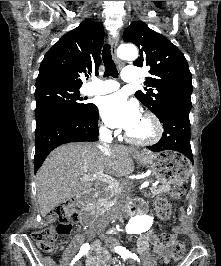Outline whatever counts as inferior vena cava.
<instances>
[{
    "instance_id": "inferior-vena-cava-1",
    "label": "inferior vena cava",
    "mask_w": 221,
    "mask_h": 266,
    "mask_svg": "<svg viewBox=\"0 0 221 266\" xmlns=\"http://www.w3.org/2000/svg\"><path fill=\"white\" fill-rule=\"evenodd\" d=\"M99 139L102 141L103 144L99 145V149L102 151V153L106 156H111L112 154V148L110 147L109 144L112 141V135L111 131L107 128L101 129L100 130V135ZM116 147V146H114ZM118 192H123V191H118ZM111 214V212H109ZM109 215H106V217H102L97 221V226L99 227H105L108 224V221L111 220L108 217Z\"/></svg>"
}]
</instances>
